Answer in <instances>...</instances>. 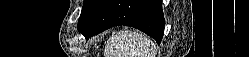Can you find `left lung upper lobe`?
<instances>
[{
	"mask_svg": "<svg viewBox=\"0 0 249 57\" xmlns=\"http://www.w3.org/2000/svg\"><path fill=\"white\" fill-rule=\"evenodd\" d=\"M107 0H84L78 27L91 19Z\"/></svg>",
	"mask_w": 249,
	"mask_h": 57,
	"instance_id": "5c2ea615",
	"label": "left lung upper lobe"
}]
</instances>
